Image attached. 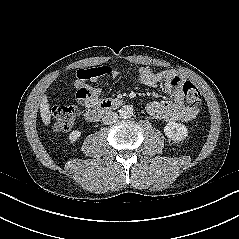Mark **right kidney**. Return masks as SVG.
I'll return each instance as SVG.
<instances>
[{"instance_id":"obj_1","label":"right kidney","mask_w":239,"mask_h":239,"mask_svg":"<svg viewBox=\"0 0 239 239\" xmlns=\"http://www.w3.org/2000/svg\"><path fill=\"white\" fill-rule=\"evenodd\" d=\"M81 136V132L79 130H73L69 135V140L71 143H74Z\"/></svg>"}]
</instances>
